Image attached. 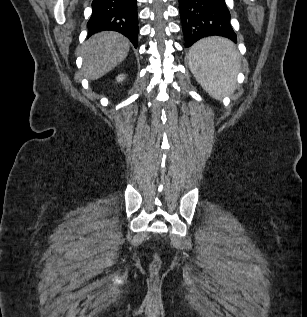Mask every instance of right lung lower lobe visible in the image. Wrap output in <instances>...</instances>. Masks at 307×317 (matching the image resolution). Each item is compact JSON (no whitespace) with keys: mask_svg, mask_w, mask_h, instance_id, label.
Listing matches in <instances>:
<instances>
[{"mask_svg":"<svg viewBox=\"0 0 307 317\" xmlns=\"http://www.w3.org/2000/svg\"><path fill=\"white\" fill-rule=\"evenodd\" d=\"M89 35L112 30L125 35L137 47L138 18L136 0H93L87 24Z\"/></svg>","mask_w":307,"mask_h":317,"instance_id":"right-lung-lower-lobe-1","label":"right lung lower lobe"}]
</instances>
